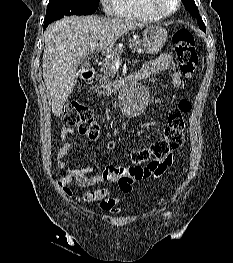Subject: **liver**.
<instances>
[{"mask_svg": "<svg viewBox=\"0 0 233 263\" xmlns=\"http://www.w3.org/2000/svg\"><path fill=\"white\" fill-rule=\"evenodd\" d=\"M144 27L132 19L97 16H70L50 24L45 31L42 68L52 113L57 117L62 113L77 81L80 59L92 42H97V52L109 53L124 33Z\"/></svg>", "mask_w": 233, "mask_h": 263, "instance_id": "obj_1", "label": "liver"}]
</instances>
